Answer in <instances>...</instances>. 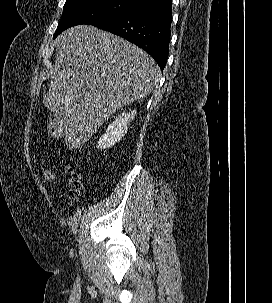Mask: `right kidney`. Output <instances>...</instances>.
<instances>
[{
  "label": "right kidney",
  "mask_w": 272,
  "mask_h": 303,
  "mask_svg": "<svg viewBox=\"0 0 272 303\" xmlns=\"http://www.w3.org/2000/svg\"><path fill=\"white\" fill-rule=\"evenodd\" d=\"M136 114L137 111L134 109L131 113H122V115L116 117L115 121L108 126L106 132L99 138L98 149L104 150L118 143L127 133L128 125Z\"/></svg>",
  "instance_id": "obj_1"
}]
</instances>
